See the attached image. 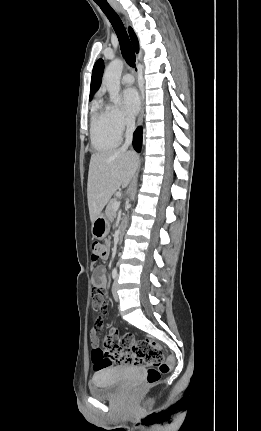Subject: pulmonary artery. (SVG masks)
<instances>
[{
  "label": "pulmonary artery",
  "mask_w": 261,
  "mask_h": 431,
  "mask_svg": "<svg viewBox=\"0 0 261 431\" xmlns=\"http://www.w3.org/2000/svg\"><path fill=\"white\" fill-rule=\"evenodd\" d=\"M122 83L124 85H131L134 83V77L130 73H126L122 76Z\"/></svg>",
  "instance_id": "1"
}]
</instances>
